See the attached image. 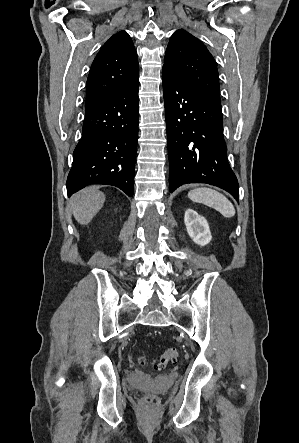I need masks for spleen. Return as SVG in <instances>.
Masks as SVG:
<instances>
[{
	"label": "spleen",
	"instance_id": "spleen-1",
	"mask_svg": "<svg viewBox=\"0 0 299 443\" xmlns=\"http://www.w3.org/2000/svg\"><path fill=\"white\" fill-rule=\"evenodd\" d=\"M188 198L193 202L202 203L214 208L226 218H231L236 213L233 204L228 198L211 188L202 187L193 189L188 192Z\"/></svg>",
	"mask_w": 299,
	"mask_h": 443
}]
</instances>
